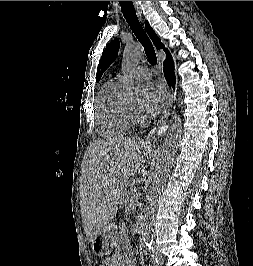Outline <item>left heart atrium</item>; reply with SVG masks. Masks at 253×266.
I'll use <instances>...</instances> for the list:
<instances>
[{"label":"left heart atrium","mask_w":253,"mask_h":266,"mask_svg":"<svg viewBox=\"0 0 253 266\" xmlns=\"http://www.w3.org/2000/svg\"><path fill=\"white\" fill-rule=\"evenodd\" d=\"M167 101V95L160 84L147 83L143 86L142 109L151 116L158 114Z\"/></svg>","instance_id":"39dd6f15"}]
</instances>
